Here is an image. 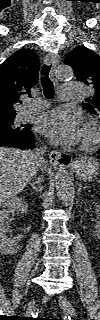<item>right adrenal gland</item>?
Listing matches in <instances>:
<instances>
[{
	"label": "right adrenal gland",
	"mask_w": 100,
	"mask_h": 320,
	"mask_svg": "<svg viewBox=\"0 0 100 320\" xmlns=\"http://www.w3.org/2000/svg\"><path fill=\"white\" fill-rule=\"evenodd\" d=\"M28 184H29V185L32 187V189H33L34 191H36V192H38V191L41 190V188H40L39 186H36L37 182H33V183L29 182Z\"/></svg>",
	"instance_id": "right-adrenal-gland-1"
}]
</instances>
